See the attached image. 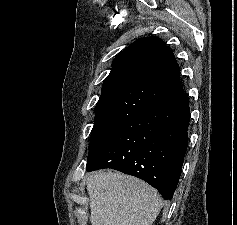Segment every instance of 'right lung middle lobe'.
Returning a JSON list of instances; mask_svg holds the SVG:
<instances>
[{
  "label": "right lung middle lobe",
  "instance_id": "dd1d6c3e",
  "mask_svg": "<svg viewBox=\"0 0 237 225\" xmlns=\"http://www.w3.org/2000/svg\"><path fill=\"white\" fill-rule=\"evenodd\" d=\"M124 123H126V121L116 119L95 120L94 126L92 128V138L89 145V153L109 134H111Z\"/></svg>",
  "mask_w": 237,
  "mask_h": 225
}]
</instances>
